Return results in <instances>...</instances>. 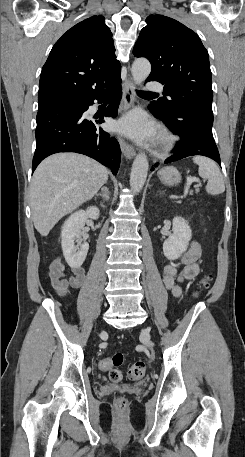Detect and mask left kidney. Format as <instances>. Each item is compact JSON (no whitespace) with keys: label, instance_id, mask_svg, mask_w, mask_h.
Segmentation results:
<instances>
[{"label":"left kidney","instance_id":"5707ae66","mask_svg":"<svg viewBox=\"0 0 245 457\" xmlns=\"http://www.w3.org/2000/svg\"><path fill=\"white\" fill-rule=\"evenodd\" d=\"M192 231L190 226L182 216H174L172 220V233L163 243V253L169 261H175L182 257L188 249L191 241Z\"/></svg>","mask_w":245,"mask_h":457}]
</instances>
